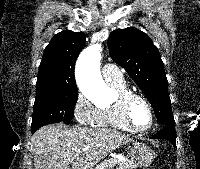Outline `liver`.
Listing matches in <instances>:
<instances>
[{"instance_id": "1", "label": "liver", "mask_w": 200, "mask_h": 169, "mask_svg": "<svg viewBox=\"0 0 200 169\" xmlns=\"http://www.w3.org/2000/svg\"><path fill=\"white\" fill-rule=\"evenodd\" d=\"M133 141L116 130L68 128L62 123L50 124L37 130L32 137L34 167L93 169L117 147Z\"/></svg>"}]
</instances>
